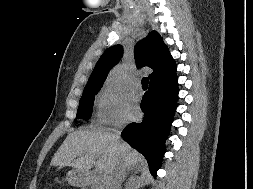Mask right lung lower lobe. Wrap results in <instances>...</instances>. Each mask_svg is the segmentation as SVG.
<instances>
[{
  "mask_svg": "<svg viewBox=\"0 0 253 189\" xmlns=\"http://www.w3.org/2000/svg\"><path fill=\"white\" fill-rule=\"evenodd\" d=\"M177 98L176 72L150 82L141 102L143 121L129 124L122 132L123 139L145 156L154 177L165 153L164 143L170 131Z\"/></svg>",
  "mask_w": 253,
  "mask_h": 189,
  "instance_id": "1",
  "label": "right lung lower lobe"
}]
</instances>
